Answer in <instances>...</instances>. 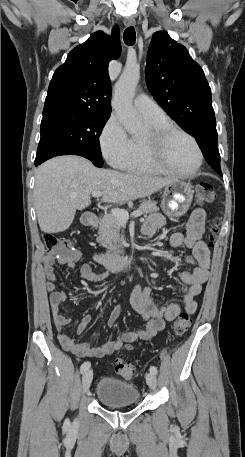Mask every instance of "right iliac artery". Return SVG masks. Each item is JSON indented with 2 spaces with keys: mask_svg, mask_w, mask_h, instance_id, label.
<instances>
[{
  "mask_svg": "<svg viewBox=\"0 0 245 457\" xmlns=\"http://www.w3.org/2000/svg\"><path fill=\"white\" fill-rule=\"evenodd\" d=\"M91 364L90 362L86 361L84 362L82 365H81V368H80V371L81 373L85 372L86 370H88L90 368Z\"/></svg>",
  "mask_w": 245,
  "mask_h": 457,
  "instance_id": "right-iliac-artery-1",
  "label": "right iliac artery"
}]
</instances>
